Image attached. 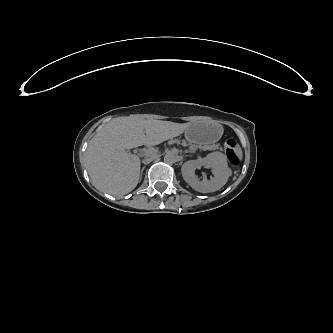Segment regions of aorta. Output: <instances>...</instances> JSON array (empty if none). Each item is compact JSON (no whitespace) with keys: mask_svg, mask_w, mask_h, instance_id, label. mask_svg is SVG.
<instances>
[{"mask_svg":"<svg viewBox=\"0 0 333 333\" xmlns=\"http://www.w3.org/2000/svg\"><path fill=\"white\" fill-rule=\"evenodd\" d=\"M164 162L167 164H174L176 162V157L173 153L168 152L164 156Z\"/></svg>","mask_w":333,"mask_h":333,"instance_id":"aorta-1","label":"aorta"}]
</instances>
